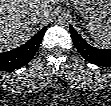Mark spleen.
<instances>
[{
  "instance_id": "spleen-1",
  "label": "spleen",
  "mask_w": 111,
  "mask_h": 106,
  "mask_svg": "<svg viewBox=\"0 0 111 106\" xmlns=\"http://www.w3.org/2000/svg\"><path fill=\"white\" fill-rule=\"evenodd\" d=\"M87 27L96 42L103 47H111V17L106 23L96 20L90 21Z\"/></svg>"
}]
</instances>
